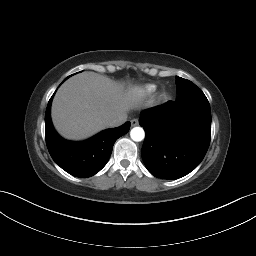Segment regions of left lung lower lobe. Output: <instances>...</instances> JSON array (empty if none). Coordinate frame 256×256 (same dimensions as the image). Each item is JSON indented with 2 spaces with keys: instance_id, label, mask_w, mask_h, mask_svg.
<instances>
[{
  "instance_id": "0a47b994",
  "label": "left lung lower lobe",
  "mask_w": 256,
  "mask_h": 256,
  "mask_svg": "<svg viewBox=\"0 0 256 256\" xmlns=\"http://www.w3.org/2000/svg\"><path fill=\"white\" fill-rule=\"evenodd\" d=\"M145 130L142 159L148 171L162 179H178L204 158L211 139V110L202 91L141 112Z\"/></svg>"
}]
</instances>
